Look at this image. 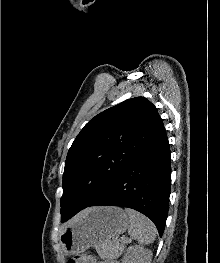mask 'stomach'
Returning <instances> with one entry per match:
<instances>
[{"mask_svg":"<svg viewBox=\"0 0 220 263\" xmlns=\"http://www.w3.org/2000/svg\"><path fill=\"white\" fill-rule=\"evenodd\" d=\"M129 227V220L119 207H94L84 211L65 227L59 238L63 251L68 255L84 252L89 247H100L111 238L122 234Z\"/></svg>","mask_w":220,"mask_h":263,"instance_id":"0dacf381","label":"stomach"}]
</instances>
